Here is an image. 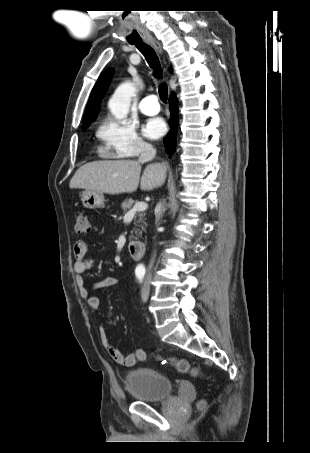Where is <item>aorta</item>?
<instances>
[{
	"label": "aorta",
	"instance_id": "762f6f07",
	"mask_svg": "<svg viewBox=\"0 0 310 453\" xmlns=\"http://www.w3.org/2000/svg\"><path fill=\"white\" fill-rule=\"evenodd\" d=\"M135 92L136 88L130 81H126L117 87L108 103L110 112L116 119H124L127 116Z\"/></svg>",
	"mask_w": 310,
	"mask_h": 453
}]
</instances>
